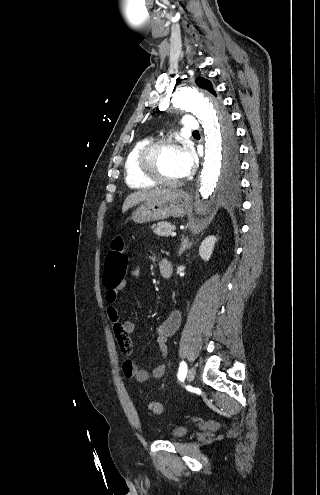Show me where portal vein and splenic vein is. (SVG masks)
<instances>
[{"instance_id":"portal-vein-and-splenic-vein-1","label":"portal vein and splenic vein","mask_w":320,"mask_h":495,"mask_svg":"<svg viewBox=\"0 0 320 495\" xmlns=\"http://www.w3.org/2000/svg\"><path fill=\"white\" fill-rule=\"evenodd\" d=\"M171 236H172V237L176 236V232H172V233H171Z\"/></svg>"}]
</instances>
